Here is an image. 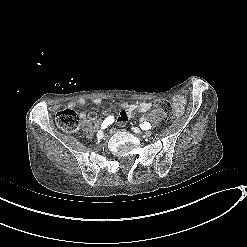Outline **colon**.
I'll list each match as a JSON object with an SVG mask.
<instances>
[{
	"mask_svg": "<svg viewBox=\"0 0 247 247\" xmlns=\"http://www.w3.org/2000/svg\"><path fill=\"white\" fill-rule=\"evenodd\" d=\"M156 107L160 110L167 120L174 117V107L166 100H158ZM56 120L58 125L65 131L73 132L80 126L79 114L73 109H62L56 113Z\"/></svg>",
	"mask_w": 247,
	"mask_h": 247,
	"instance_id": "obj_1",
	"label": "colon"
}]
</instances>
